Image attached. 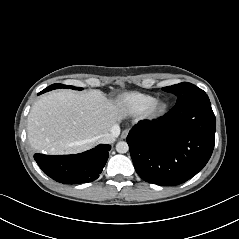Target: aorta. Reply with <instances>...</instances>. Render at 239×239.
Wrapping results in <instances>:
<instances>
[{
	"label": "aorta",
	"instance_id": "aorta-1",
	"mask_svg": "<svg viewBox=\"0 0 239 239\" xmlns=\"http://www.w3.org/2000/svg\"><path fill=\"white\" fill-rule=\"evenodd\" d=\"M128 150H129V146H128L127 142L120 141L116 144V151L118 153H126V152H128Z\"/></svg>",
	"mask_w": 239,
	"mask_h": 239
}]
</instances>
